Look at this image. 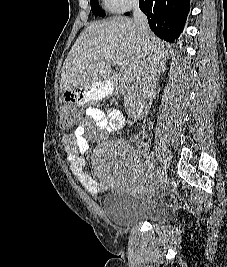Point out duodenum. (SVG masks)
<instances>
[{
  "label": "duodenum",
  "instance_id": "410a0bca",
  "mask_svg": "<svg viewBox=\"0 0 227 267\" xmlns=\"http://www.w3.org/2000/svg\"><path fill=\"white\" fill-rule=\"evenodd\" d=\"M112 82L120 92L128 94L132 97L134 102H133V105L130 107L131 115L135 119L141 117L145 111V103H144L143 99L139 96V94L128 89L124 85L123 80L119 74L113 75Z\"/></svg>",
  "mask_w": 227,
  "mask_h": 267
}]
</instances>
